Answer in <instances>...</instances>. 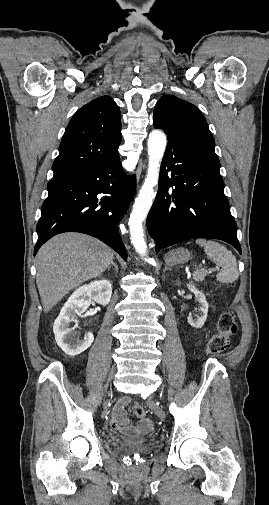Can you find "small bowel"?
Wrapping results in <instances>:
<instances>
[{
  "instance_id": "1",
  "label": "small bowel",
  "mask_w": 269,
  "mask_h": 505,
  "mask_svg": "<svg viewBox=\"0 0 269 505\" xmlns=\"http://www.w3.org/2000/svg\"><path fill=\"white\" fill-rule=\"evenodd\" d=\"M130 401L129 397H123L117 402L112 412V428L128 435L149 432L154 426V422L149 418L141 419L136 427L129 425L126 407L130 404Z\"/></svg>"
}]
</instances>
